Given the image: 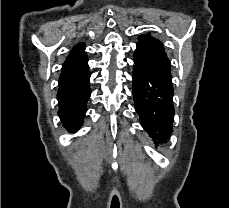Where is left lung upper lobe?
<instances>
[{"label":"left lung upper lobe","mask_w":229,"mask_h":208,"mask_svg":"<svg viewBox=\"0 0 229 208\" xmlns=\"http://www.w3.org/2000/svg\"><path fill=\"white\" fill-rule=\"evenodd\" d=\"M134 59L142 63L157 80L172 86L170 61L161 41L150 34L140 35Z\"/></svg>","instance_id":"5c2ea615"}]
</instances>
